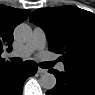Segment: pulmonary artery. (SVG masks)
<instances>
[{"label": "pulmonary artery", "mask_w": 95, "mask_h": 95, "mask_svg": "<svg viewBox=\"0 0 95 95\" xmlns=\"http://www.w3.org/2000/svg\"><path fill=\"white\" fill-rule=\"evenodd\" d=\"M45 44H46L45 31L40 27H35L30 41L23 45L20 49L13 50L12 52H10L9 55L11 57H20L25 59L28 56H30L33 53V51L44 48ZM57 68L61 71L64 70V64L59 63L57 65Z\"/></svg>", "instance_id": "obj_1"}]
</instances>
